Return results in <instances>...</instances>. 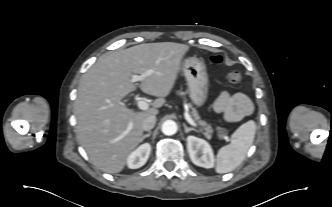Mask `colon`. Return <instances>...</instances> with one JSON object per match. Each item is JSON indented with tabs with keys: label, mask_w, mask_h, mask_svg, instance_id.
I'll return each instance as SVG.
<instances>
[{
	"label": "colon",
	"mask_w": 332,
	"mask_h": 207,
	"mask_svg": "<svg viewBox=\"0 0 332 207\" xmlns=\"http://www.w3.org/2000/svg\"><path fill=\"white\" fill-rule=\"evenodd\" d=\"M210 60L213 62V63H216V64H219L222 62V58L220 56H212L210 58ZM227 78L230 82L232 83H237L240 81L241 79V74L238 70H235V69H232V70H229L228 73H227ZM227 129L224 128V127H219L218 130H217V135L219 138H224L227 136Z\"/></svg>",
	"instance_id": "obj_1"
}]
</instances>
